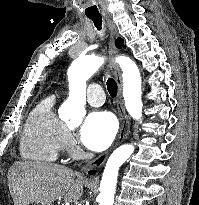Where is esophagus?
Returning <instances> with one entry per match:
<instances>
[{"label": "esophagus", "mask_w": 199, "mask_h": 205, "mask_svg": "<svg viewBox=\"0 0 199 205\" xmlns=\"http://www.w3.org/2000/svg\"><path fill=\"white\" fill-rule=\"evenodd\" d=\"M108 26L110 29V36L111 41L109 43V57H110V67L113 71V74L115 76V80L118 86V93H117V109H118V116L120 120V129L118 136L114 142V144L111 146L110 149H108L106 152L102 153L95 159L89 161L87 164L83 165L81 167V173L84 174L86 170L88 169H98L101 168L104 163L106 162L109 154L112 152V150L117 147L120 143H122L130 134V120L127 116L124 108L123 98H122V77H121V71L117 64L113 62V57L117 54V50L114 46V38L117 35V30L115 25L110 19H107Z\"/></svg>", "instance_id": "34e87169"}]
</instances>
